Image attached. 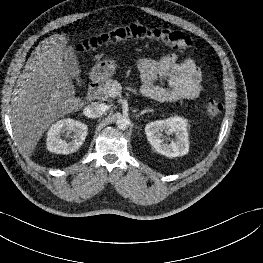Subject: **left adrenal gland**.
I'll return each mask as SVG.
<instances>
[{
    "mask_svg": "<svg viewBox=\"0 0 263 263\" xmlns=\"http://www.w3.org/2000/svg\"><path fill=\"white\" fill-rule=\"evenodd\" d=\"M153 110H151V109H145V110H143V111H141L139 114L140 115H143V114H145V113H147V112H152Z\"/></svg>",
    "mask_w": 263,
    "mask_h": 263,
    "instance_id": "a2214340",
    "label": "left adrenal gland"
}]
</instances>
